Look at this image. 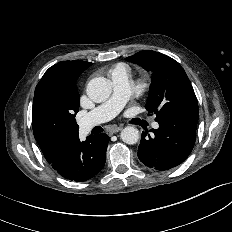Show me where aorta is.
<instances>
[{"label":"aorta","instance_id":"762f6f07","mask_svg":"<svg viewBox=\"0 0 232 232\" xmlns=\"http://www.w3.org/2000/svg\"><path fill=\"white\" fill-rule=\"evenodd\" d=\"M111 93V82L105 77H95L87 85V95L96 103L104 102ZM121 139L129 145H133L139 140V131L132 126H127L121 131Z\"/></svg>","mask_w":232,"mask_h":232}]
</instances>
